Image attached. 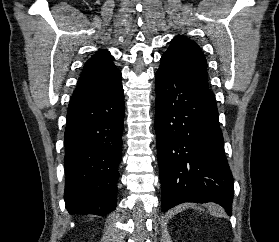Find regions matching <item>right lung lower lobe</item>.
I'll return each instance as SVG.
<instances>
[{"instance_id": "98d812e1", "label": "right lung lower lobe", "mask_w": 279, "mask_h": 242, "mask_svg": "<svg viewBox=\"0 0 279 242\" xmlns=\"http://www.w3.org/2000/svg\"><path fill=\"white\" fill-rule=\"evenodd\" d=\"M122 85L70 102L65 129V193L70 214L107 215L116 208L124 127Z\"/></svg>"}]
</instances>
